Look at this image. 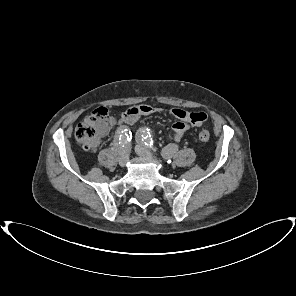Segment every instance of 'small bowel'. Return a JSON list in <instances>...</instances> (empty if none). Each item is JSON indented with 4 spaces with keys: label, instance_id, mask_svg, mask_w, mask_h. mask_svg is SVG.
<instances>
[{
    "label": "small bowel",
    "instance_id": "small-bowel-1",
    "mask_svg": "<svg viewBox=\"0 0 296 296\" xmlns=\"http://www.w3.org/2000/svg\"><path fill=\"white\" fill-rule=\"evenodd\" d=\"M157 111V108L148 104L137 105L123 112L120 121L125 125H131L135 123L140 117L153 114ZM170 113L175 119V122L172 126L173 142L165 147L166 154H172L177 151L178 145L188 130L189 125L200 126L203 123L202 121L195 122L192 120L193 114H200L203 112H189L180 108H173L170 110ZM115 122L116 120L113 118L111 120V124H115Z\"/></svg>",
    "mask_w": 296,
    "mask_h": 296
}]
</instances>
